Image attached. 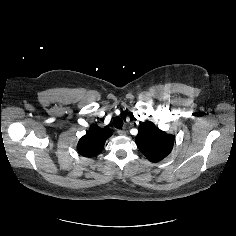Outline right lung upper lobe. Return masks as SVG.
Wrapping results in <instances>:
<instances>
[{"label": "right lung upper lobe", "instance_id": "cb5924a9", "mask_svg": "<svg viewBox=\"0 0 236 236\" xmlns=\"http://www.w3.org/2000/svg\"><path fill=\"white\" fill-rule=\"evenodd\" d=\"M112 135L108 127L100 128L98 125H91L89 131L78 142V152L84 157H93L103 150L105 141Z\"/></svg>", "mask_w": 236, "mask_h": 236}]
</instances>
